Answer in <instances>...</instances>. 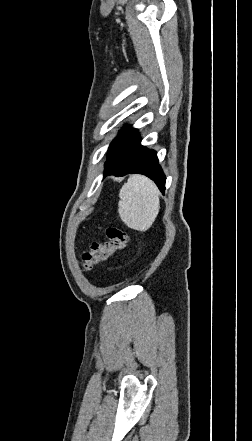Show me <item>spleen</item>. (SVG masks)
Wrapping results in <instances>:
<instances>
[{
  "instance_id": "3e777b00",
  "label": "spleen",
  "mask_w": 252,
  "mask_h": 441,
  "mask_svg": "<svg viewBox=\"0 0 252 441\" xmlns=\"http://www.w3.org/2000/svg\"><path fill=\"white\" fill-rule=\"evenodd\" d=\"M118 213L131 229L148 230L159 209V190L155 183L142 175L131 176L119 192Z\"/></svg>"
}]
</instances>
